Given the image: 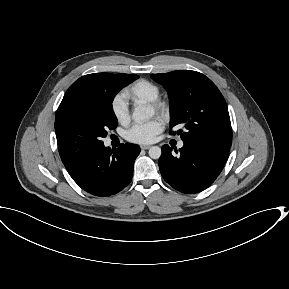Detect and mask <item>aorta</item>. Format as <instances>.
<instances>
[{
	"label": "aorta",
	"instance_id": "aorta-1",
	"mask_svg": "<svg viewBox=\"0 0 289 289\" xmlns=\"http://www.w3.org/2000/svg\"><path fill=\"white\" fill-rule=\"evenodd\" d=\"M153 115V111L150 108H147L146 106H137L132 114V119L136 123H143L146 120L150 119ZM161 148L158 146H152L149 149V156L152 159H159L161 156Z\"/></svg>",
	"mask_w": 289,
	"mask_h": 289
}]
</instances>
